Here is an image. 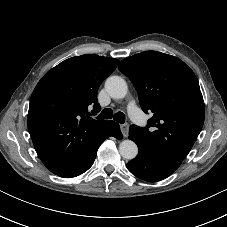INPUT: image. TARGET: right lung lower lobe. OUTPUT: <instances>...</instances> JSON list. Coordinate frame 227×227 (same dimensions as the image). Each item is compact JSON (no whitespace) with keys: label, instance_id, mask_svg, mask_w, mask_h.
I'll list each match as a JSON object with an SVG mask.
<instances>
[{"label":"right lung lower lobe","instance_id":"98d812e1","mask_svg":"<svg viewBox=\"0 0 227 227\" xmlns=\"http://www.w3.org/2000/svg\"><path fill=\"white\" fill-rule=\"evenodd\" d=\"M118 134H121L119 125L115 122H112L111 125L108 127V129L104 131V133L99 137V139L84 155H82L69 168L61 171L57 175L63 178H72L87 171L92 166L96 158L97 150L102 144V142L105 139H107L109 136L115 137Z\"/></svg>","mask_w":227,"mask_h":227}]
</instances>
